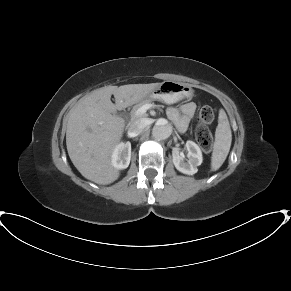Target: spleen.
I'll return each mask as SVG.
<instances>
[{"label":"spleen","mask_w":291,"mask_h":291,"mask_svg":"<svg viewBox=\"0 0 291 291\" xmlns=\"http://www.w3.org/2000/svg\"><path fill=\"white\" fill-rule=\"evenodd\" d=\"M232 141L228 117L223 109L219 110L218 125L215 131V142L211 156V171L218 170L226 160Z\"/></svg>","instance_id":"spleen-1"}]
</instances>
